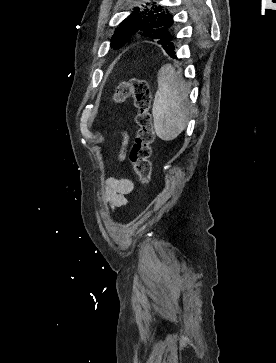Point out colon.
<instances>
[{
  "mask_svg": "<svg viewBox=\"0 0 276 363\" xmlns=\"http://www.w3.org/2000/svg\"><path fill=\"white\" fill-rule=\"evenodd\" d=\"M130 96L134 98L135 107L138 110L136 116L138 132L131 151V161L140 182L148 184L152 173V144L155 140L150 113L151 90L149 83L143 79H131L123 82L118 86L114 98L121 103Z\"/></svg>",
  "mask_w": 276,
  "mask_h": 363,
  "instance_id": "colon-1",
  "label": "colon"
}]
</instances>
